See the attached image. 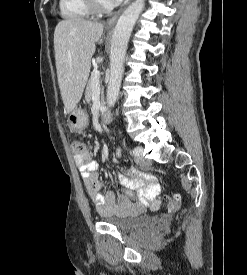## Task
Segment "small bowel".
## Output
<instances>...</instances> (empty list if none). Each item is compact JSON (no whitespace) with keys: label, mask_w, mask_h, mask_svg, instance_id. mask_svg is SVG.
Returning a JSON list of instances; mask_svg holds the SVG:
<instances>
[{"label":"small bowel","mask_w":247,"mask_h":275,"mask_svg":"<svg viewBox=\"0 0 247 275\" xmlns=\"http://www.w3.org/2000/svg\"><path fill=\"white\" fill-rule=\"evenodd\" d=\"M77 162L90 198L100 214H129L140 211L142 207L155 209L160 205V186L153 175L131 169L128 176H119L125 188L137 191L138 202L133 203L125 195L100 191L99 165L88 154L84 158L77 157Z\"/></svg>","instance_id":"c3829d8e"}]
</instances>
